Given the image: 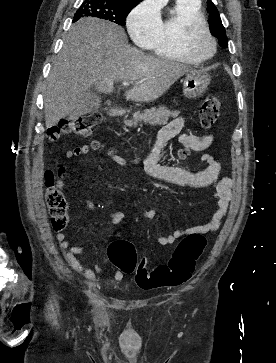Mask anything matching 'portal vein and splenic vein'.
Masks as SVG:
<instances>
[{
	"label": "portal vein and splenic vein",
	"instance_id": "18ae733b",
	"mask_svg": "<svg viewBox=\"0 0 276 363\" xmlns=\"http://www.w3.org/2000/svg\"><path fill=\"white\" fill-rule=\"evenodd\" d=\"M122 84H123V86H124V87L129 86V82H127V81H123V83H122Z\"/></svg>",
	"mask_w": 276,
	"mask_h": 363
}]
</instances>
